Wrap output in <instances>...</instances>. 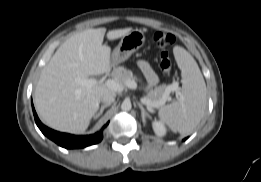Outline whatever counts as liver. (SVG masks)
<instances>
[{
    "label": "liver",
    "mask_w": 261,
    "mask_h": 182,
    "mask_svg": "<svg viewBox=\"0 0 261 182\" xmlns=\"http://www.w3.org/2000/svg\"><path fill=\"white\" fill-rule=\"evenodd\" d=\"M132 28L111 30L108 40H115ZM105 28L87 29L67 39L43 68L35 88L34 102L41 120L49 127L68 133H83L99 108L101 97L116 92L105 85L91 88L76 78L88 79L111 69V50L103 45Z\"/></svg>",
    "instance_id": "obj_1"
}]
</instances>
